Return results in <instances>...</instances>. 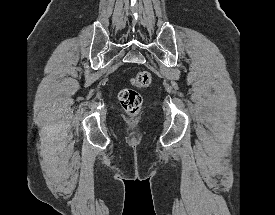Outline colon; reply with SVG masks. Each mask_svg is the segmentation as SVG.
<instances>
[{"mask_svg":"<svg viewBox=\"0 0 275 215\" xmlns=\"http://www.w3.org/2000/svg\"><path fill=\"white\" fill-rule=\"evenodd\" d=\"M152 83V75L148 71H139L130 80V86L122 88L119 92V100L130 116H135L142 106V96L138 89L148 87Z\"/></svg>","mask_w":275,"mask_h":215,"instance_id":"obj_1","label":"colon"}]
</instances>
